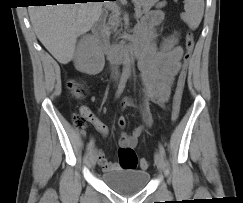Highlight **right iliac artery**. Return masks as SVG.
Instances as JSON below:
<instances>
[{"mask_svg": "<svg viewBox=\"0 0 243 203\" xmlns=\"http://www.w3.org/2000/svg\"><path fill=\"white\" fill-rule=\"evenodd\" d=\"M125 83H126V77L123 76L120 80V83H119V86H118V89H117V92H116V97H119L120 94L123 92V89L125 87ZM94 147V140H90L89 144H88V151L91 152V150L93 149Z\"/></svg>", "mask_w": 243, "mask_h": 203, "instance_id": "obj_1", "label": "right iliac artery"}]
</instances>
